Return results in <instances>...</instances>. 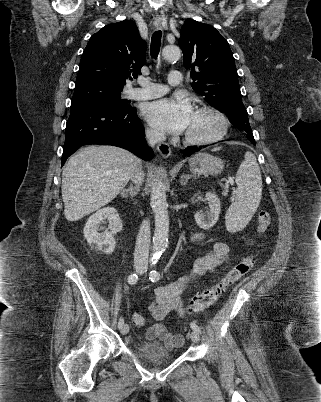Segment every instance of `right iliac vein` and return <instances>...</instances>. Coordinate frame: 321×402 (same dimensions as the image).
<instances>
[{
    "label": "right iliac vein",
    "instance_id": "63e3f726",
    "mask_svg": "<svg viewBox=\"0 0 321 402\" xmlns=\"http://www.w3.org/2000/svg\"><path fill=\"white\" fill-rule=\"evenodd\" d=\"M139 270V268H137ZM129 332V326L127 324L123 325L121 328V334L126 335Z\"/></svg>",
    "mask_w": 321,
    "mask_h": 402
}]
</instances>
